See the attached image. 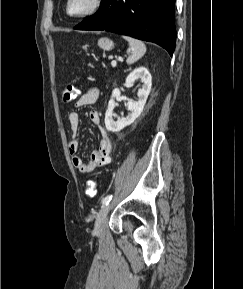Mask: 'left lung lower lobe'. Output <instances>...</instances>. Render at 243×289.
<instances>
[{"mask_svg": "<svg viewBox=\"0 0 243 289\" xmlns=\"http://www.w3.org/2000/svg\"><path fill=\"white\" fill-rule=\"evenodd\" d=\"M175 0H102L100 9L74 29L106 30L156 43L172 56Z\"/></svg>", "mask_w": 243, "mask_h": 289, "instance_id": "left-lung-lower-lobe-1", "label": "left lung lower lobe"}]
</instances>
